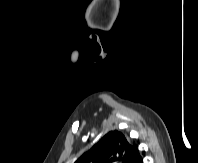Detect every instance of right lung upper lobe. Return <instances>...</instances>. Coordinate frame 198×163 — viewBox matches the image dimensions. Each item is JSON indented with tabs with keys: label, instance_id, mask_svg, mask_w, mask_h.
<instances>
[{
	"label": "right lung upper lobe",
	"instance_id": "obj_1",
	"mask_svg": "<svg viewBox=\"0 0 198 163\" xmlns=\"http://www.w3.org/2000/svg\"><path fill=\"white\" fill-rule=\"evenodd\" d=\"M75 163H143L137 148L130 145L125 136L117 131L104 135Z\"/></svg>",
	"mask_w": 198,
	"mask_h": 163
}]
</instances>
